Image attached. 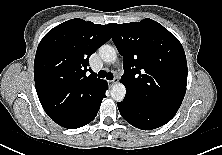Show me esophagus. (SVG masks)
Returning <instances> with one entry per match:
<instances>
[{"label": "esophagus", "mask_w": 222, "mask_h": 155, "mask_svg": "<svg viewBox=\"0 0 222 155\" xmlns=\"http://www.w3.org/2000/svg\"><path fill=\"white\" fill-rule=\"evenodd\" d=\"M117 78H114L113 80H111V81H108L110 84H114V83H116L117 82Z\"/></svg>", "instance_id": "34e87169"}]
</instances>
